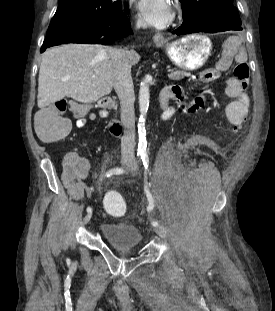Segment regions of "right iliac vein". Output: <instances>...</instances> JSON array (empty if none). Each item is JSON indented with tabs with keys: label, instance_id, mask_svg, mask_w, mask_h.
<instances>
[{
	"label": "right iliac vein",
	"instance_id": "63e3f726",
	"mask_svg": "<svg viewBox=\"0 0 275 311\" xmlns=\"http://www.w3.org/2000/svg\"><path fill=\"white\" fill-rule=\"evenodd\" d=\"M121 163H122L123 165H129V164L131 163V160L128 159V158H125V159H123V160L121 161ZM91 217H92V213H88V214L84 217L83 224H87V223L90 221Z\"/></svg>",
	"mask_w": 275,
	"mask_h": 311
}]
</instances>
